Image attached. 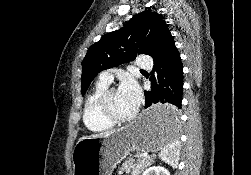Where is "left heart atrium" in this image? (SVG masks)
<instances>
[{"label": "left heart atrium", "instance_id": "39dd6f15", "mask_svg": "<svg viewBox=\"0 0 251 175\" xmlns=\"http://www.w3.org/2000/svg\"><path fill=\"white\" fill-rule=\"evenodd\" d=\"M121 101L129 108L131 112H135L141 102V91L135 80L131 78L125 79L119 89Z\"/></svg>", "mask_w": 251, "mask_h": 175}]
</instances>
